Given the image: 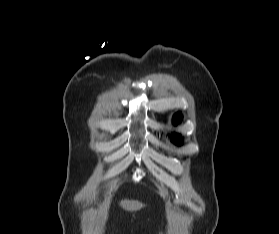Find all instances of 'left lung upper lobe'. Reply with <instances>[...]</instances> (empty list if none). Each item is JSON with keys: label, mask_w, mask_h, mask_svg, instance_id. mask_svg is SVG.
Returning <instances> with one entry per match:
<instances>
[{"label": "left lung upper lobe", "mask_w": 279, "mask_h": 234, "mask_svg": "<svg viewBox=\"0 0 279 234\" xmlns=\"http://www.w3.org/2000/svg\"><path fill=\"white\" fill-rule=\"evenodd\" d=\"M181 119H182V115L180 113H177V114L174 115L173 123L177 124ZM172 141L175 144H178V145L182 144L181 137L179 135H177V134H173Z\"/></svg>", "instance_id": "obj_1"}]
</instances>
